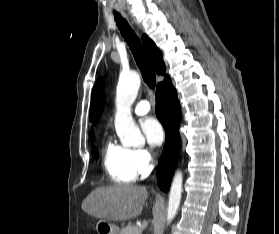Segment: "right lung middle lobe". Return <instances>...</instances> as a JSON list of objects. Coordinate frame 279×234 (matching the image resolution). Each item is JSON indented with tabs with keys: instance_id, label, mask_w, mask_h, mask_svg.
Returning <instances> with one entry per match:
<instances>
[{
	"instance_id": "right-lung-middle-lobe-1",
	"label": "right lung middle lobe",
	"mask_w": 279,
	"mask_h": 234,
	"mask_svg": "<svg viewBox=\"0 0 279 234\" xmlns=\"http://www.w3.org/2000/svg\"><path fill=\"white\" fill-rule=\"evenodd\" d=\"M92 155H93V158L97 159L98 158V151L95 147H92Z\"/></svg>"
}]
</instances>
